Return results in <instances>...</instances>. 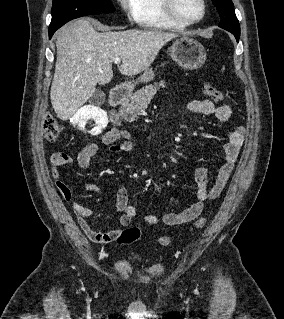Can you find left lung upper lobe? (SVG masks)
I'll list each match as a JSON object with an SVG mask.
<instances>
[{
    "instance_id": "1",
    "label": "left lung upper lobe",
    "mask_w": 284,
    "mask_h": 319,
    "mask_svg": "<svg viewBox=\"0 0 284 319\" xmlns=\"http://www.w3.org/2000/svg\"><path fill=\"white\" fill-rule=\"evenodd\" d=\"M221 18L219 27L231 32L240 34V25L235 15L232 0H212Z\"/></svg>"
}]
</instances>
